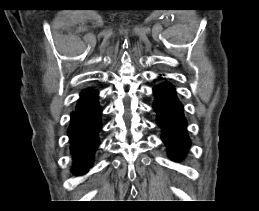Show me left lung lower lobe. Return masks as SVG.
<instances>
[{
    "label": "left lung lower lobe",
    "mask_w": 259,
    "mask_h": 211,
    "mask_svg": "<svg viewBox=\"0 0 259 211\" xmlns=\"http://www.w3.org/2000/svg\"><path fill=\"white\" fill-rule=\"evenodd\" d=\"M154 94L156 98L153 108L157 113V124L162 128V139L171 159L180 160L190 146L183 106L176 98L174 87L169 83L156 86Z\"/></svg>",
    "instance_id": "1"
}]
</instances>
